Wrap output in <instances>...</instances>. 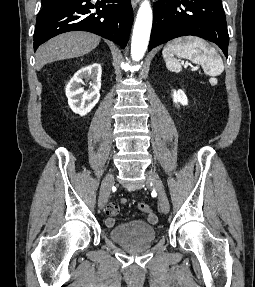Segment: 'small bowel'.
<instances>
[{
  "instance_id": "1",
  "label": "small bowel",
  "mask_w": 255,
  "mask_h": 287,
  "mask_svg": "<svg viewBox=\"0 0 255 287\" xmlns=\"http://www.w3.org/2000/svg\"><path fill=\"white\" fill-rule=\"evenodd\" d=\"M121 204H126L127 203V199L126 198H121L120 200ZM118 213V205L116 203H110L106 209V214H107V218L105 220V223L107 225V227L112 228L115 226L116 222H115V216ZM147 222L149 224H156L158 222V217L155 213L152 214H148L147 215Z\"/></svg>"
}]
</instances>
